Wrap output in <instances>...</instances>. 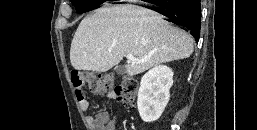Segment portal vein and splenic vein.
Instances as JSON below:
<instances>
[{
  "instance_id": "obj_1",
  "label": "portal vein and splenic vein",
  "mask_w": 257,
  "mask_h": 130,
  "mask_svg": "<svg viewBox=\"0 0 257 130\" xmlns=\"http://www.w3.org/2000/svg\"><path fill=\"white\" fill-rule=\"evenodd\" d=\"M127 60L134 62V63H140L141 61L137 58H135L132 54L126 55Z\"/></svg>"
}]
</instances>
